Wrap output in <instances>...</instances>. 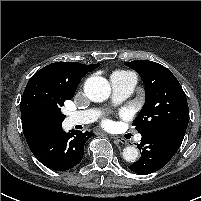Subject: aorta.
<instances>
[{
	"label": "aorta",
	"mask_w": 201,
	"mask_h": 201,
	"mask_svg": "<svg viewBox=\"0 0 201 201\" xmlns=\"http://www.w3.org/2000/svg\"><path fill=\"white\" fill-rule=\"evenodd\" d=\"M86 96L94 102H102L108 99L111 93L109 82L101 76L89 77L84 84ZM139 151L134 146H127L123 149V159L127 162H135Z\"/></svg>",
	"instance_id": "1"
}]
</instances>
